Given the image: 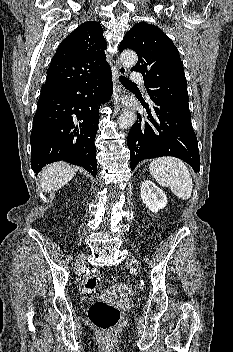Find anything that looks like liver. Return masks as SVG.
<instances>
[{"label":"liver","mask_w":233,"mask_h":352,"mask_svg":"<svg viewBox=\"0 0 233 352\" xmlns=\"http://www.w3.org/2000/svg\"><path fill=\"white\" fill-rule=\"evenodd\" d=\"M75 173V167L63 162L48 165L40 173L41 188L46 193L56 191L67 184Z\"/></svg>","instance_id":"obj_1"}]
</instances>
